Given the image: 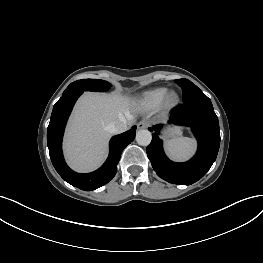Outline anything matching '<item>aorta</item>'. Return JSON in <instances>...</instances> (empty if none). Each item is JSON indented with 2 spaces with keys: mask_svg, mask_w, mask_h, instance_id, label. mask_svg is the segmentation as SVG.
<instances>
[{
  "mask_svg": "<svg viewBox=\"0 0 263 263\" xmlns=\"http://www.w3.org/2000/svg\"><path fill=\"white\" fill-rule=\"evenodd\" d=\"M152 140L151 132L145 129L139 130L136 133V141L141 146H147Z\"/></svg>",
  "mask_w": 263,
  "mask_h": 263,
  "instance_id": "762f6f07",
  "label": "aorta"
}]
</instances>
